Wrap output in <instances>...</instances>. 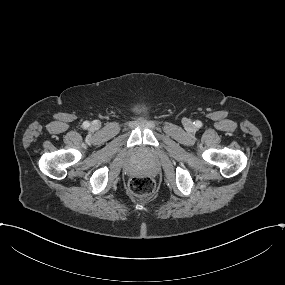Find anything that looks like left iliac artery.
I'll use <instances>...</instances> for the list:
<instances>
[{
    "label": "left iliac artery",
    "instance_id": "left-iliac-artery-1",
    "mask_svg": "<svg viewBox=\"0 0 285 285\" xmlns=\"http://www.w3.org/2000/svg\"><path fill=\"white\" fill-rule=\"evenodd\" d=\"M197 128H201L202 127V122L197 120L193 123Z\"/></svg>",
    "mask_w": 285,
    "mask_h": 285
}]
</instances>
